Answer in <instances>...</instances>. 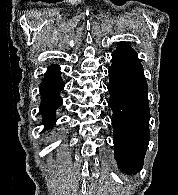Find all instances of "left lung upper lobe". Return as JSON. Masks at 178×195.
<instances>
[{
	"label": "left lung upper lobe",
	"mask_w": 178,
	"mask_h": 195,
	"mask_svg": "<svg viewBox=\"0 0 178 195\" xmlns=\"http://www.w3.org/2000/svg\"><path fill=\"white\" fill-rule=\"evenodd\" d=\"M116 51L130 53L136 55L135 51L127 44H121L117 47Z\"/></svg>",
	"instance_id": "obj_1"
}]
</instances>
